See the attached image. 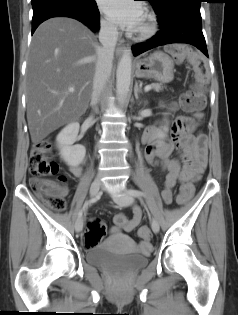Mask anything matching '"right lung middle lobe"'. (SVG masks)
Returning a JSON list of instances; mask_svg holds the SVG:
<instances>
[{
  "label": "right lung middle lobe",
  "mask_w": 238,
  "mask_h": 315,
  "mask_svg": "<svg viewBox=\"0 0 238 315\" xmlns=\"http://www.w3.org/2000/svg\"><path fill=\"white\" fill-rule=\"evenodd\" d=\"M78 1H81V2H89V1H91V0H78Z\"/></svg>",
  "instance_id": "right-lung-middle-lobe-1"
}]
</instances>
